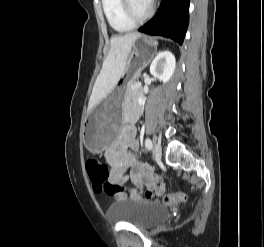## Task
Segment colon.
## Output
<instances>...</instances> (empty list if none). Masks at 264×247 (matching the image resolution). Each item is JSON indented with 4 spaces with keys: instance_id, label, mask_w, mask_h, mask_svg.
Here are the masks:
<instances>
[{
    "instance_id": "1",
    "label": "colon",
    "mask_w": 264,
    "mask_h": 247,
    "mask_svg": "<svg viewBox=\"0 0 264 247\" xmlns=\"http://www.w3.org/2000/svg\"><path fill=\"white\" fill-rule=\"evenodd\" d=\"M86 169L94 189L98 192H105L110 196H119L123 192H128L132 196L143 195L147 198L154 196L151 192L137 187L124 188L110 182L108 166L97 157H90L86 160ZM180 198H183L182 194L166 193L163 201L166 204H174Z\"/></svg>"
}]
</instances>
